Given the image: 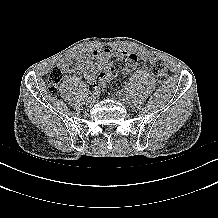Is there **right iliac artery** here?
I'll use <instances>...</instances> for the list:
<instances>
[{"label":"right iliac artery","mask_w":218,"mask_h":218,"mask_svg":"<svg viewBox=\"0 0 218 218\" xmlns=\"http://www.w3.org/2000/svg\"><path fill=\"white\" fill-rule=\"evenodd\" d=\"M88 94H89V95H94V94H96V92H93L92 90H89V91H88Z\"/></svg>","instance_id":"82829eb1"}]
</instances>
